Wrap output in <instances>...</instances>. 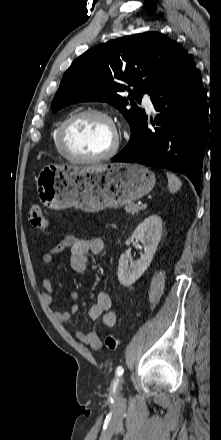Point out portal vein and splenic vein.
<instances>
[{
	"mask_svg": "<svg viewBox=\"0 0 221 440\" xmlns=\"http://www.w3.org/2000/svg\"><path fill=\"white\" fill-rule=\"evenodd\" d=\"M141 207H142V209H145L147 207V204L144 203V204L141 205Z\"/></svg>",
	"mask_w": 221,
	"mask_h": 440,
	"instance_id": "portal-vein-and-splenic-vein-1",
	"label": "portal vein and splenic vein"
}]
</instances>
